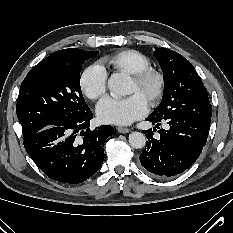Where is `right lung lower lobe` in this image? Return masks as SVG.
<instances>
[{"instance_id": "right-lung-lower-lobe-1", "label": "right lung lower lobe", "mask_w": 233, "mask_h": 233, "mask_svg": "<svg viewBox=\"0 0 233 233\" xmlns=\"http://www.w3.org/2000/svg\"><path fill=\"white\" fill-rule=\"evenodd\" d=\"M92 118L90 110L74 121L43 128L24 139V147L49 178L79 184L100 169L104 160V142L114 134L110 125L90 130Z\"/></svg>"}]
</instances>
